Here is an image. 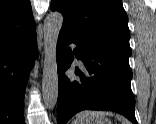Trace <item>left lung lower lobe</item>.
<instances>
[{
	"mask_svg": "<svg viewBox=\"0 0 156 124\" xmlns=\"http://www.w3.org/2000/svg\"><path fill=\"white\" fill-rule=\"evenodd\" d=\"M71 44H76V48L72 49ZM74 57L80 59L86 68L85 73L75 70V74L81 77L79 80H70L64 75ZM57 66V124H66L81 110L114 111L137 124L128 58L111 49L86 44L61 28L57 43Z\"/></svg>",
	"mask_w": 156,
	"mask_h": 124,
	"instance_id": "left-lung-lower-lobe-1",
	"label": "left lung lower lobe"
}]
</instances>
